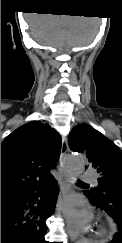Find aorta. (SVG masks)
<instances>
[{
	"label": "aorta",
	"mask_w": 122,
	"mask_h": 243,
	"mask_svg": "<svg viewBox=\"0 0 122 243\" xmlns=\"http://www.w3.org/2000/svg\"><path fill=\"white\" fill-rule=\"evenodd\" d=\"M66 171L72 182H75L84 170V160L80 156H69L65 162ZM76 243H88V240L81 237Z\"/></svg>",
	"instance_id": "1"
}]
</instances>
